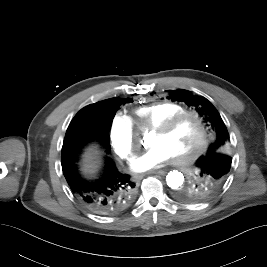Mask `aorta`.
I'll use <instances>...</instances> for the list:
<instances>
[{"instance_id": "aorta-1", "label": "aorta", "mask_w": 267, "mask_h": 267, "mask_svg": "<svg viewBox=\"0 0 267 267\" xmlns=\"http://www.w3.org/2000/svg\"><path fill=\"white\" fill-rule=\"evenodd\" d=\"M184 180V175L177 170L170 171L166 176L167 185L173 190L181 188Z\"/></svg>"}]
</instances>
